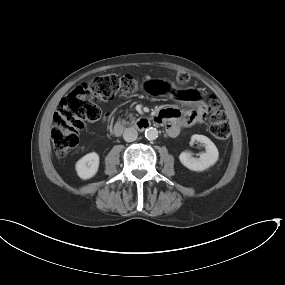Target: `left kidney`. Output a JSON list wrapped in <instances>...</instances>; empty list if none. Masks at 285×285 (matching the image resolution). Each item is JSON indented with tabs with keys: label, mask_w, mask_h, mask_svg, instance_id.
Wrapping results in <instances>:
<instances>
[{
	"label": "left kidney",
	"mask_w": 285,
	"mask_h": 285,
	"mask_svg": "<svg viewBox=\"0 0 285 285\" xmlns=\"http://www.w3.org/2000/svg\"><path fill=\"white\" fill-rule=\"evenodd\" d=\"M200 142L205 147V153L199 158L192 157L190 152H182L179 156L180 162L190 170L203 171L214 165L219 157V152L215 144L206 136L195 134L191 137V143Z\"/></svg>",
	"instance_id": "left-kidney-1"
}]
</instances>
